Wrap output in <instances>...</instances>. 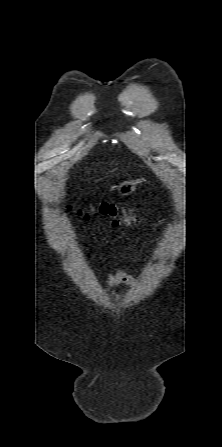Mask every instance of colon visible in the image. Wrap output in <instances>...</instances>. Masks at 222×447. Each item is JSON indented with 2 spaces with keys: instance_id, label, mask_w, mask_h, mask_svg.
<instances>
[{
  "instance_id": "colon-1",
  "label": "colon",
  "mask_w": 222,
  "mask_h": 447,
  "mask_svg": "<svg viewBox=\"0 0 222 447\" xmlns=\"http://www.w3.org/2000/svg\"><path fill=\"white\" fill-rule=\"evenodd\" d=\"M138 207L119 208L113 203H101L96 210V213L106 219V222L112 227L121 225H133L140 222L141 218L137 214ZM80 214L89 220L92 214L87 212H80Z\"/></svg>"
}]
</instances>
